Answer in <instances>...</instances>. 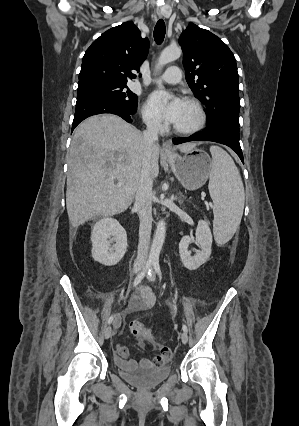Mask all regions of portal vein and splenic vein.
<instances>
[{"label":"portal vein and splenic vein","mask_w":299,"mask_h":426,"mask_svg":"<svg viewBox=\"0 0 299 426\" xmlns=\"http://www.w3.org/2000/svg\"><path fill=\"white\" fill-rule=\"evenodd\" d=\"M121 186V184H118V187H120Z\"/></svg>","instance_id":"obj_1"}]
</instances>
